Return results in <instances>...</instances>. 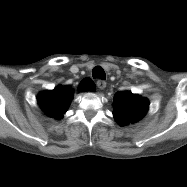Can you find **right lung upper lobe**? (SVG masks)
<instances>
[{
	"label": "right lung upper lobe",
	"mask_w": 187,
	"mask_h": 187,
	"mask_svg": "<svg viewBox=\"0 0 187 187\" xmlns=\"http://www.w3.org/2000/svg\"><path fill=\"white\" fill-rule=\"evenodd\" d=\"M71 86H57L52 91H45L39 95V103L45 113L54 118H62L72 99Z\"/></svg>",
	"instance_id": "cb5924a9"
}]
</instances>
